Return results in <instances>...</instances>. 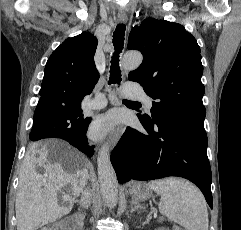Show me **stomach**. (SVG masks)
Wrapping results in <instances>:
<instances>
[{
    "mask_svg": "<svg viewBox=\"0 0 241 230\" xmlns=\"http://www.w3.org/2000/svg\"><path fill=\"white\" fill-rule=\"evenodd\" d=\"M129 193L133 199L139 200V201H145L152 196V192L150 188L140 183L130 188Z\"/></svg>",
    "mask_w": 241,
    "mask_h": 230,
    "instance_id": "0dacf381",
    "label": "stomach"
}]
</instances>
